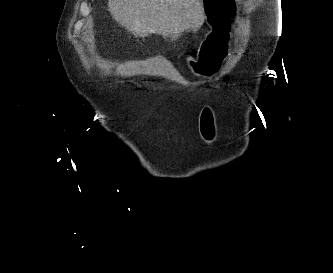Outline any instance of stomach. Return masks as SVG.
<instances>
[{
	"label": "stomach",
	"mask_w": 333,
	"mask_h": 273,
	"mask_svg": "<svg viewBox=\"0 0 333 273\" xmlns=\"http://www.w3.org/2000/svg\"><path fill=\"white\" fill-rule=\"evenodd\" d=\"M201 3L208 15V23H212L215 31H210L208 39H204V44H201L199 59L190 62L195 74L209 77L219 67L221 59L216 56H224V51L233 50V45L227 44V41L228 32H233L229 19L231 14H235V7L232 0H201Z\"/></svg>",
	"instance_id": "stomach-1"
}]
</instances>
